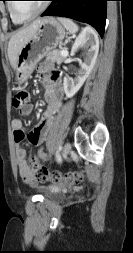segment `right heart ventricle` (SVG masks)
<instances>
[{
    "label": "right heart ventricle",
    "mask_w": 133,
    "mask_h": 253,
    "mask_svg": "<svg viewBox=\"0 0 133 253\" xmlns=\"http://www.w3.org/2000/svg\"><path fill=\"white\" fill-rule=\"evenodd\" d=\"M7 9H8V11H9V8H8V6H7ZM10 13V12H9ZM10 17H11V15H10ZM11 20H12V22L14 23V24H18L17 22H15L14 20H13V18L11 17Z\"/></svg>",
    "instance_id": "e07e8e85"
}]
</instances>
